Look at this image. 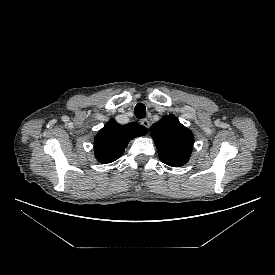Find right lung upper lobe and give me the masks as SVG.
<instances>
[{"label": "right lung upper lobe", "instance_id": "obj_1", "mask_svg": "<svg viewBox=\"0 0 275 275\" xmlns=\"http://www.w3.org/2000/svg\"><path fill=\"white\" fill-rule=\"evenodd\" d=\"M147 131V128L136 122L120 125L115 120H110L95 136L96 159L104 164L117 160L122 156L131 139L145 135Z\"/></svg>", "mask_w": 275, "mask_h": 275}]
</instances>
